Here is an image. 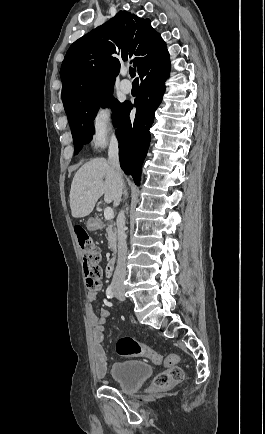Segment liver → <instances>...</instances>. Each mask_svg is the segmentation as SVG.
<instances>
[{
    "mask_svg": "<svg viewBox=\"0 0 265 434\" xmlns=\"http://www.w3.org/2000/svg\"><path fill=\"white\" fill-rule=\"evenodd\" d=\"M123 182L119 170L95 158L86 162L76 172L70 190V208L73 218H85L94 210L96 202L104 194V202L117 208L121 202Z\"/></svg>",
    "mask_w": 265,
    "mask_h": 434,
    "instance_id": "6515ba94",
    "label": "liver"
}]
</instances>
